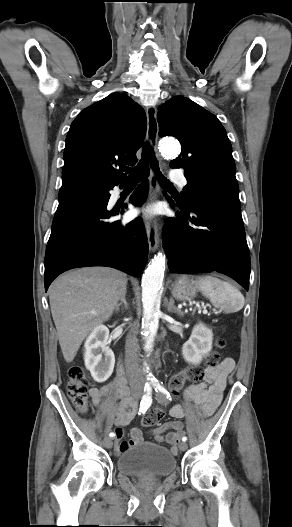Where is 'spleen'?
Returning <instances> with one entry per match:
<instances>
[{
  "label": "spleen",
  "mask_w": 292,
  "mask_h": 527,
  "mask_svg": "<svg viewBox=\"0 0 292 527\" xmlns=\"http://www.w3.org/2000/svg\"><path fill=\"white\" fill-rule=\"evenodd\" d=\"M196 286L216 308L226 312H237L244 306L245 299L241 292L217 277L210 275L198 277Z\"/></svg>",
  "instance_id": "obj_1"
}]
</instances>
